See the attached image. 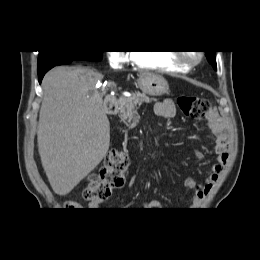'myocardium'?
I'll use <instances>...</instances> for the list:
<instances>
[{
	"instance_id": "obj_1",
	"label": "myocardium",
	"mask_w": 260,
	"mask_h": 260,
	"mask_svg": "<svg viewBox=\"0 0 260 260\" xmlns=\"http://www.w3.org/2000/svg\"><path fill=\"white\" fill-rule=\"evenodd\" d=\"M175 60L186 67H191L200 62L202 54L200 52H177L174 54Z\"/></svg>"
}]
</instances>
